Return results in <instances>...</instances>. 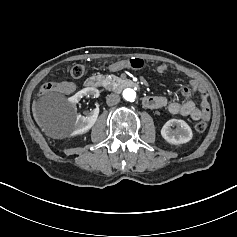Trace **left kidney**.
I'll return each mask as SVG.
<instances>
[{
	"mask_svg": "<svg viewBox=\"0 0 237 237\" xmlns=\"http://www.w3.org/2000/svg\"><path fill=\"white\" fill-rule=\"evenodd\" d=\"M178 124L176 129H170L173 124ZM162 138L173 145H181L190 141L193 137L190 126L181 119H172L168 121L161 129Z\"/></svg>",
	"mask_w": 237,
	"mask_h": 237,
	"instance_id": "left-kidney-1",
	"label": "left kidney"
}]
</instances>
